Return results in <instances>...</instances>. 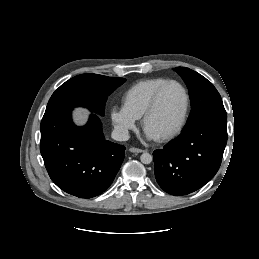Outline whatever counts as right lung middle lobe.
<instances>
[{
  "label": "right lung middle lobe",
  "mask_w": 259,
  "mask_h": 259,
  "mask_svg": "<svg viewBox=\"0 0 259 259\" xmlns=\"http://www.w3.org/2000/svg\"><path fill=\"white\" fill-rule=\"evenodd\" d=\"M126 79L98 74L77 75L62 84L51 96L43 117H49L74 107H88L104 115L108 96Z\"/></svg>",
  "instance_id": "dd1d6c3e"
}]
</instances>
